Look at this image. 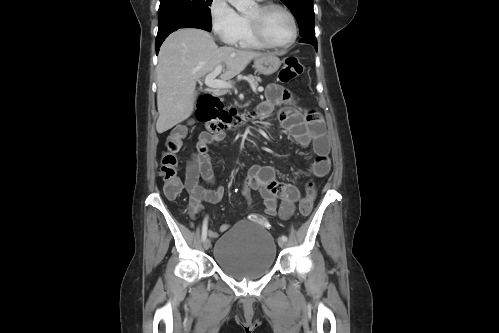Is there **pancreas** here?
Instances as JSON below:
<instances>
[{
  "label": "pancreas",
  "mask_w": 499,
  "mask_h": 333,
  "mask_svg": "<svg viewBox=\"0 0 499 333\" xmlns=\"http://www.w3.org/2000/svg\"><path fill=\"white\" fill-rule=\"evenodd\" d=\"M248 78L252 82L254 87H258L259 83L262 81L260 77L255 75H248Z\"/></svg>",
  "instance_id": "pancreas-1"
}]
</instances>
